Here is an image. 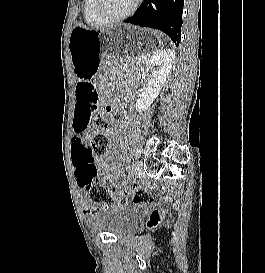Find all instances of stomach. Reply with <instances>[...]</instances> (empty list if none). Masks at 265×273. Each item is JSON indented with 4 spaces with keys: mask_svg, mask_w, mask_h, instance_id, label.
Segmentation results:
<instances>
[{
    "mask_svg": "<svg viewBox=\"0 0 265 273\" xmlns=\"http://www.w3.org/2000/svg\"><path fill=\"white\" fill-rule=\"evenodd\" d=\"M160 45H165V40H160L155 30H143V25H113L108 30L76 26L69 38L77 79L101 78V73L117 69V64H137L142 56H154L150 49H160Z\"/></svg>",
    "mask_w": 265,
    "mask_h": 273,
    "instance_id": "1",
    "label": "stomach"
}]
</instances>
